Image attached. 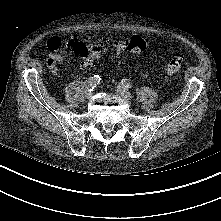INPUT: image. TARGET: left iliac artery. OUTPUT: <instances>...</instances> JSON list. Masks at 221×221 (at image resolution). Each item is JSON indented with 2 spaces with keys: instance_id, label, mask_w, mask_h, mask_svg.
Instances as JSON below:
<instances>
[{
  "instance_id": "1",
  "label": "left iliac artery",
  "mask_w": 221,
  "mask_h": 221,
  "mask_svg": "<svg viewBox=\"0 0 221 221\" xmlns=\"http://www.w3.org/2000/svg\"><path fill=\"white\" fill-rule=\"evenodd\" d=\"M121 83H122V85H123L125 88H129V87L131 86L130 81L127 80V79H123V80L121 81Z\"/></svg>"
}]
</instances>
